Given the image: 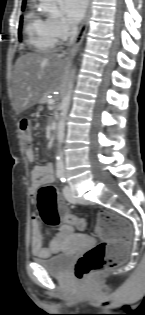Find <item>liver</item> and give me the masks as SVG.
Masks as SVG:
<instances>
[{
    "label": "liver",
    "mask_w": 145,
    "mask_h": 315,
    "mask_svg": "<svg viewBox=\"0 0 145 315\" xmlns=\"http://www.w3.org/2000/svg\"><path fill=\"white\" fill-rule=\"evenodd\" d=\"M67 69V59L53 51L21 55L15 63L13 77L15 113H22L41 101L45 93L59 89Z\"/></svg>",
    "instance_id": "obj_1"
}]
</instances>
